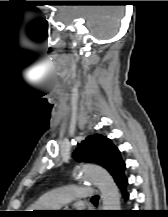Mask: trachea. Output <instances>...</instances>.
I'll use <instances>...</instances> for the list:
<instances>
[{"label": "trachea", "mask_w": 168, "mask_h": 217, "mask_svg": "<svg viewBox=\"0 0 168 217\" xmlns=\"http://www.w3.org/2000/svg\"><path fill=\"white\" fill-rule=\"evenodd\" d=\"M91 200H92V201H98V200H99V196H98V195L93 196Z\"/></svg>", "instance_id": "trachea-1"}]
</instances>
